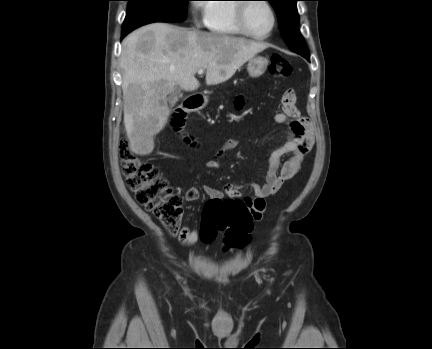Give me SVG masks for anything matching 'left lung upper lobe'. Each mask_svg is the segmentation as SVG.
<instances>
[{"label":"left lung upper lobe","mask_w":432,"mask_h":349,"mask_svg":"<svg viewBox=\"0 0 432 349\" xmlns=\"http://www.w3.org/2000/svg\"><path fill=\"white\" fill-rule=\"evenodd\" d=\"M278 16L279 28L285 43L298 54H309L302 35L299 32V15L296 1L298 0H268Z\"/></svg>","instance_id":"left-lung-upper-lobe-1"}]
</instances>
